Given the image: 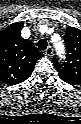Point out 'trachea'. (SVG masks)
I'll return each mask as SVG.
<instances>
[{"mask_svg": "<svg viewBox=\"0 0 81 124\" xmlns=\"http://www.w3.org/2000/svg\"><path fill=\"white\" fill-rule=\"evenodd\" d=\"M47 45H48L47 41L45 39H41V40L38 41L37 46H38V49L40 51H43V50H45L47 48Z\"/></svg>", "mask_w": 81, "mask_h": 124, "instance_id": "1", "label": "trachea"}]
</instances>
